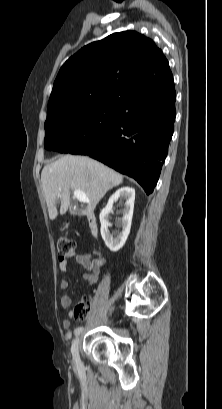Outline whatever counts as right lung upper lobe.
<instances>
[{
    "instance_id": "1",
    "label": "right lung upper lobe",
    "mask_w": 222,
    "mask_h": 409,
    "mask_svg": "<svg viewBox=\"0 0 222 409\" xmlns=\"http://www.w3.org/2000/svg\"><path fill=\"white\" fill-rule=\"evenodd\" d=\"M169 63L156 46L136 31L113 33L88 44L61 67L47 113L73 104L122 103L169 89L163 78Z\"/></svg>"
}]
</instances>
